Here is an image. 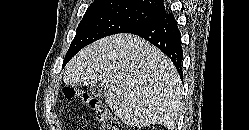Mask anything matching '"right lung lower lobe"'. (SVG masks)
<instances>
[{"instance_id":"right-lung-lower-lobe-1","label":"right lung lower lobe","mask_w":249,"mask_h":130,"mask_svg":"<svg viewBox=\"0 0 249 130\" xmlns=\"http://www.w3.org/2000/svg\"><path fill=\"white\" fill-rule=\"evenodd\" d=\"M125 33L138 35L158 47L172 60L182 78L183 49L181 33L172 13H165Z\"/></svg>"}]
</instances>
